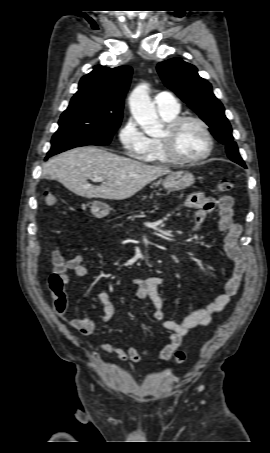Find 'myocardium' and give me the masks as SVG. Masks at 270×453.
Masks as SVG:
<instances>
[{"mask_svg":"<svg viewBox=\"0 0 270 453\" xmlns=\"http://www.w3.org/2000/svg\"><path fill=\"white\" fill-rule=\"evenodd\" d=\"M186 122H194L198 124L202 128L206 137L207 145L205 151L195 158H182L175 153L173 148L174 135L177 132V130ZM158 141L160 143L164 155L172 163L182 165L195 164L203 161L204 159L210 156L214 147L213 136L208 124L203 119L192 115L176 116L175 118L167 122L165 127V134L162 137L158 138Z\"/></svg>","mask_w":270,"mask_h":453,"instance_id":"1","label":"myocardium"}]
</instances>
